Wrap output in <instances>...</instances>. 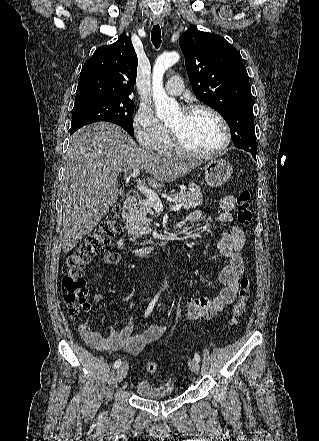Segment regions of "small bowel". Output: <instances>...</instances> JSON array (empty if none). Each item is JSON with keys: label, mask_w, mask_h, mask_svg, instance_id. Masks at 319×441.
<instances>
[{"label": "small bowel", "mask_w": 319, "mask_h": 441, "mask_svg": "<svg viewBox=\"0 0 319 441\" xmlns=\"http://www.w3.org/2000/svg\"><path fill=\"white\" fill-rule=\"evenodd\" d=\"M235 198L231 195L224 196L220 201V213L217 220L222 223H229L231 227L228 231L220 235L217 247L221 256L226 260V264L220 272L219 280L223 284L220 293L214 298L206 296H192L187 300L185 319L204 320L211 319L219 315L225 307L232 304L237 297L239 290V279L244 270V263L241 250L245 244V234L242 228L233 224ZM202 213L197 210L187 216L183 222H195L200 219ZM122 257L116 252H107L104 261L108 264L121 262ZM104 299L100 292L93 294L96 303ZM131 316L124 327L120 330L111 327L108 336H103L98 331L91 328L86 323H79L78 331L88 345L98 350H124L127 353L137 355L147 345L158 340L167 330V325H150L139 334L132 335L133 321L135 317V304L129 302Z\"/></svg>", "instance_id": "small-bowel-1"}]
</instances>
